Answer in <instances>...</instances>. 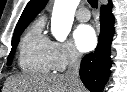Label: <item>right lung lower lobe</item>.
<instances>
[{"label": "right lung lower lobe", "instance_id": "98d812e1", "mask_svg": "<svg viewBox=\"0 0 127 92\" xmlns=\"http://www.w3.org/2000/svg\"><path fill=\"white\" fill-rule=\"evenodd\" d=\"M100 35L94 53L85 55L81 61L80 77L91 92H101L110 74L111 42L114 35V17L110 5L100 10Z\"/></svg>", "mask_w": 127, "mask_h": 92}]
</instances>
